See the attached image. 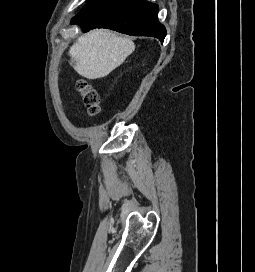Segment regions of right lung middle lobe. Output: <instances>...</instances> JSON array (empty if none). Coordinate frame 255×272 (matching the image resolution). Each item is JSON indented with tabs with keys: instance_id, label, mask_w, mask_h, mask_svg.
<instances>
[{
	"instance_id": "1",
	"label": "right lung middle lobe",
	"mask_w": 255,
	"mask_h": 272,
	"mask_svg": "<svg viewBox=\"0 0 255 272\" xmlns=\"http://www.w3.org/2000/svg\"><path fill=\"white\" fill-rule=\"evenodd\" d=\"M91 0H87L86 2L88 3V2H90Z\"/></svg>"
}]
</instances>
